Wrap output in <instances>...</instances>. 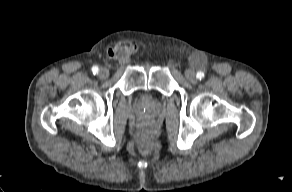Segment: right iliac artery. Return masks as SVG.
I'll list each match as a JSON object with an SVG mask.
<instances>
[{"label": "right iliac artery", "mask_w": 292, "mask_h": 192, "mask_svg": "<svg viewBox=\"0 0 292 192\" xmlns=\"http://www.w3.org/2000/svg\"><path fill=\"white\" fill-rule=\"evenodd\" d=\"M92 72H93V74H98L99 68L97 66H93L92 67Z\"/></svg>", "instance_id": "1"}]
</instances>
